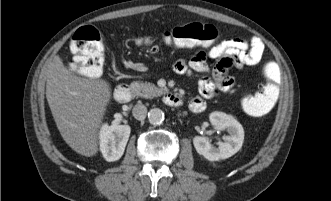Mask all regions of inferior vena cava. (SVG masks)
<instances>
[{
    "label": "inferior vena cava",
    "mask_w": 331,
    "mask_h": 201,
    "mask_svg": "<svg viewBox=\"0 0 331 201\" xmlns=\"http://www.w3.org/2000/svg\"><path fill=\"white\" fill-rule=\"evenodd\" d=\"M132 114L137 120H144L147 115V107L138 103L133 107Z\"/></svg>",
    "instance_id": "obj_1"
}]
</instances>
